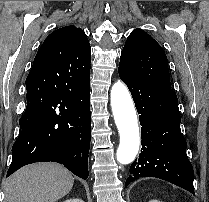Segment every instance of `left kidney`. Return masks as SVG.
<instances>
[{
	"mask_svg": "<svg viewBox=\"0 0 209 202\" xmlns=\"http://www.w3.org/2000/svg\"><path fill=\"white\" fill-rule=\"evenodd\" d=\"M149 202H162V201H159V200L153 199V200H150Z\"/></svg>",
	"mask_w": 209,
	"mask_h": 202,
	"instance_id": "left-kidney-1",
	"label": "left kidney"
}]
</instances>
